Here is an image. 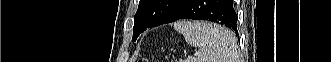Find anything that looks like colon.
I'll use <instances>...</instances> for the list:
<instances>
[{"label":"colon","mask_w":331,"mask_h":62,"mask_svg":"<svg viewBox=\"0 0 331 62\" xmlns=\"http://www.w3.org/2000/svg\"><path fill=\"white\" fill-rule=\"evenodd\" d=\"M137 62H149V61L146 59H139Z\"/></svg>","instance_id":"colon-1"}]
</instances>
